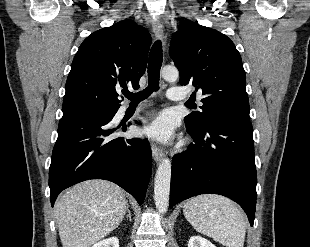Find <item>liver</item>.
Masks as SVG:
<instances>
[{
	"label": "liver",
	"instance_id": "1",
	"mask_svg": "<svg viewBox=\"0 0 310 247\" xmlns=\"http://www.w3.org/2000/svg\"><path fill=\"white\" fill-rule=\"evenodd\" d=\"M128 207L123 190L105 180H87L66 190L55 203L63 247H90L122 222Z\"/></svg>",
	"mask_w": 310,
	"mask_h": 247
}]
</instances>
